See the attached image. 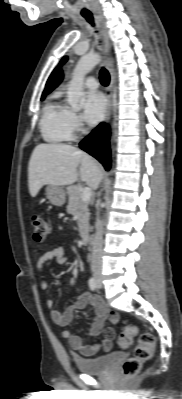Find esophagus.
Wrapping results in <instances>:
<instances>
[{"instance_id":"esophagus-1","label":"esophagus","mask_w":182,"mask_h":399,"mask_svg":"<svg viewBox=\"0 0 182 399\" xmlns=\"http://www.w3.org/2000/svg\"><path fill=\"white\" fill-rule=\"evenodd\" d=\"M102 32H103L104 41H105V53L109 57L108 71L110 74V82H109V86H108L107 92H106L107 108H106V112H105V115L103 118V122L107 123L110 120L111 110H112V90H113V85H114V69H113V58L111 56L110 40H109L107 30L103 24H102Z\"/></svg>"}]
</instances>
